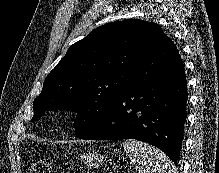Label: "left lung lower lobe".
<instances>
[{
    "mask_svg": "<svg viewBox=\"0 0 219 173\" xmlns=\"http://www.w3.org/2000/svg\"><path fill=\"white\" fill-rule=\"evenodd\" d=\"M187 82L179 51L168 37L134 73V86L88 140L137 139L179 161L186 119Z\"/></svg>",
    "mask_w": 219,
    "mask_h": 173,
    "instance_id": "left-lung-lower-lobe-1",
    "label": "left lung lower lobe"
}]
</instances>
